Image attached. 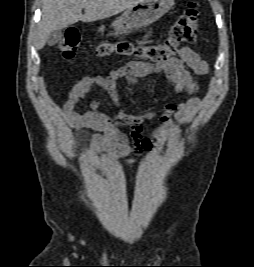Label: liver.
<instances>
[{
    "label": "liver",
    "mask_w": 254,
    "mask_h": 267,
    "mask_svg": "<svg viewBox=\"0 0 254 267\" xmlns=\"http://www.w3.org/2000/svg\"><path fill=\"white\" fill-rule=\"evenodd\" d=\"M144 0H43L36 47L42 49L49 35L78 21L93 22L130 9ZM85 9L84 15L82 9Z\"/></svg>",
    "instance_id": "obj_1"
}]
</instances>
